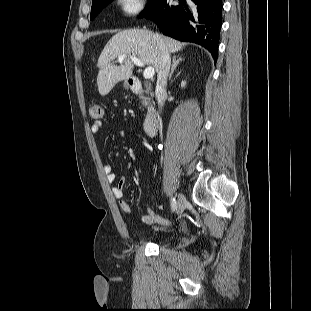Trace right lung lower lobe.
<instances>
[{
	"mask_svg": "<svg viewBox=\"0 0 311 311\" xmlns=\"http://www.w3.org/2000/svg\"><path fill=\"white\" fill-rule=\"evenodd\" d=\"M160 0L147 14L163 34L180 41L194 42L218 57L219 32L222 25V0Z\"/></svg>",
	"mask_w": 311,
	"mask_h": 311,
	"instance_id": "98d812e1",
	"label": "right lung lower lobe"
}]
</instances>
